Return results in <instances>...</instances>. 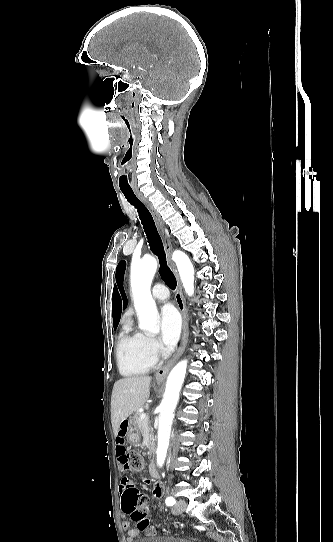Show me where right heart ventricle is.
I'll return each instance as SVG.
<instances>
[{
  "label": "right heart ventricle",
  "instance_id": "e07e8e85",
  "mask_svg": "<svg viewBox=\"0 0 333 542\" xmlns=\"http://www.w3.org/2000/svg\"><path fill=\"white\" fill-rule=\"evenodd\" d=\"M148 336L131 328L123 330L116 343L118 365L126 376L149 372L156 364V356L147 344Z\"/></svg>",
  "mask_w": 333,
  "mask_h": 542
}]
</instances>
